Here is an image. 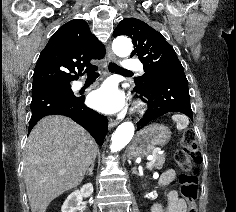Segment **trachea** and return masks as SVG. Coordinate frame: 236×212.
Masks as SVG:
<instances>
[{"mask_svg":"<svg viewBox=\"0 0 236 212\" xmlns=\"http://www.w3.org/2000/svg\"><path fill=\"white\" fill-rule=\"evenodd\" d=\"M108 69L110 72H116V73H132L131 71L125 70L118 66L117 64L110 63L108 66ZM99 74L97 72L89 73L88 78H97Z\"/></svg>","mask_w":236,"mask_h":212,"instance_id":"3493384b","label":"trachea"}]
</instances>
